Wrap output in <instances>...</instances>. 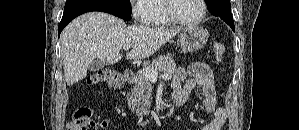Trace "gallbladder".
I'll use <instances>...</instances> for the list:
<instances>
[{
	"label": "gallbladder",
	"mask_w": 299,
	"mask_h": 130,
	"mask_svg": "<svg viewBox=\"0 0 299 130\" xmlns=\"http://www.w3.org/2000/svg\"><path fill=\"white\" fill-rule=\"evenodd\" d=\"M104 66H105V62L101 61L100 59H94V60L89 64L88 70H89L90 72H95V71H98V70L103 69Z\"/></svg>",
	"instance_id": "bac80fb5"
}]
</instances>
